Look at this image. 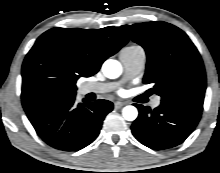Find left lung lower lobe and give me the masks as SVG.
Instances as JSON below:
<instances>
[{"label":"left lung lower lobe","mask_w":220,"mask_h":173,"mask_svg":"<svg viewBox=\"0 0 220 173\" xmlns=\"http://www.w3.org/2000/svg\"><path fill=\"white\" fill-rule=\"evenodd\" d=\"M135 106L139 116L132 124V133L142 144L155 150L181 144L195 129L202 113L170 102H161L154 110L139 104Z\"/></svg>","instance_id":"0a47b994"}]
</instances>
